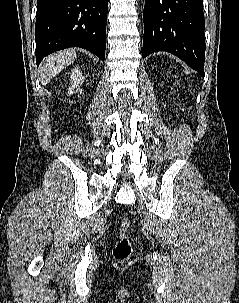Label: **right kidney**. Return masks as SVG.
I'll return each instance as SVG.
<instances>
[{"mask_svg":"<svg viewBox=\"0 0 239 303\" xmlns=\"http://www.w3.org/2000/svg\"><path fill=\"white\" fill-rule=\"evenodd\" d=\"M70 77L72 86L69 87L68 94H73L75 92V89H77V91H81L79 88V84L84 81V77H82L81 71L77 67H75L72 70Z\"/></svg>","mask_w":239,"mask_h":303,"instance_id":"ca27d5eb","label":"right kidney"}]
</instances>
